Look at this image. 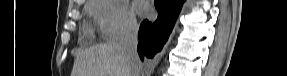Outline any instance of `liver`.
I'll return each instance as SVG.
<instances>
[{
	"instance_id": "liver-1",
	"label": "liver",
	"mask_w": 287,
	"mask_h": 76,
	"mask_svg": "<svg viewBox=\"0 0 287 76\" xmlns=\"http://www.w3.org/2000/svg\"><path fill=\"white\" fill-rule=\"evenodd\" d=\"M130 68L117 42L93 46L77 54L71 76H129Z\"/></svg>"
}]
</instances>
